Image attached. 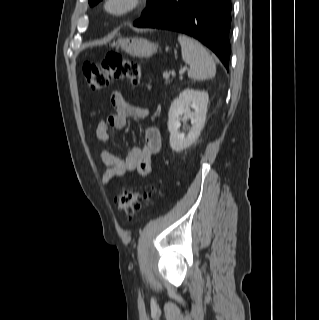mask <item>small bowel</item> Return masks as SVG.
<instances>
[{"mask_svg": "<svg viewBox=\"0 0 319 320\" xmlns=\"http://www.w3.org/2000/svg\"><path fill=\"white\" fill-rule=\"evenodd\" d=\"M110 103L114 113L108 115L105 121L96 125V136L104 142L112 141V130L123 129L129 118L145 119L151 114L147 106H136L128 103L119 91L112 93ZM161 134L157 127L146 128L144 133V145L131 147L124 157H119L109 150H102L98 158L106 167L101 176V183L108 184L111 180L124 176L126 173L136 170L141 176H147L151 172L152 161L161 148Z\"/></svg>", "mask_w": 319, "mask_h": 320, "instance_id": "small-bowel-1", "label": "small bowel"}]
</instances>
